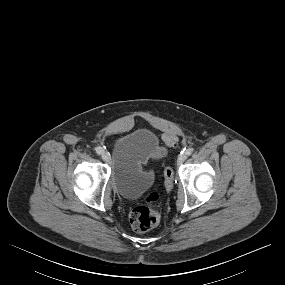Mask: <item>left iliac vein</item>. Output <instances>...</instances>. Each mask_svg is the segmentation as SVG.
Wrapping results in <instances>:
<instances>
[{
  "label": "left iliac vein",
  "instance_id": "obj_1",
  "mask_svg": "<svg viewBox=\"0 0 285 285\" xmlns=\"http://www.w3.org/2000/svg\"><path fill=\"white\" fill-rule=\"evenodd\" d=\"M187 156L186 154H180L177 158V163L182 164L186 160Z\"/></svg>",
  "mask_w": 285,
  "mask_h": 285
}]
</instances>
